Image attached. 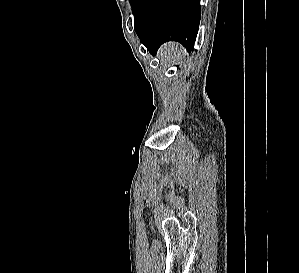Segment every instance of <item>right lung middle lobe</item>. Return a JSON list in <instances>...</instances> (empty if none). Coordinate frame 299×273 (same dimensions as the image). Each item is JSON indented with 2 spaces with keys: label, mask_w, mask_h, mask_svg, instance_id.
Segmentation results:
<instances>
[{
  "label": "right lung middle lobe",
  "mask_w": 299,
  "mask_h": 273,
  "mask_svg": "<svg viewBox=\"0 0 299 273\" xmlns=\"http://www.w3.org/2000/svg\"><path fill=\"white\" fill-rule=\"evenodd\" d=\"M135 1H136V0H130V2H131V4H132V7H133Z\"/></svg>",
  "instance_id": "right-lung-middle-lobe-1"
}]
</instances>
